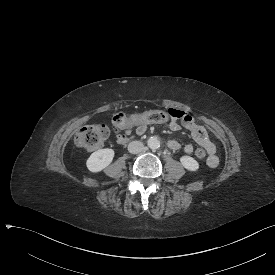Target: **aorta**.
<instances>
[{"label":"aorta","instance_id":"aorta-1","mask_svg":"<svg viewBox=\"0 0 275 275\" xmlns=\"http://www.w3.org/2000/svg\"><path fill=\"white\" fill-rule=\"evenodd\" d=\"M147 145L149 148L155 150L158 149L160 147V141L158 140L157 137L153 136L150 137L147 141Z\"/></svg>","mask_w":275,"mask_h":275}]
</instances>
